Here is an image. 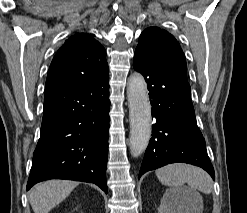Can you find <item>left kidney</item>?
Segmentation results:
<instances>
[{
    "instance_id": "1",
    "label": "left kidney",
    "mask_w": 247,
    "mask_h": 213,
    "mask_svg": "<svg viewBox=\"0 0 247 213\" xmlns=\"http://www.w3.org/2000/svg\"><path fill=\"white\" fill-rule=\"evenodd\" d=\"M158 213H196L188 192L167 190L161 199Z\"/></svg>"
}]
</instances>
